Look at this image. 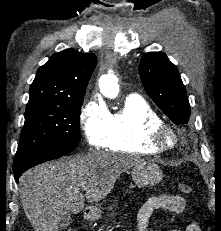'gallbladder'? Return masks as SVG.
<instances>
[{"instance_id": "1", "label": "gallbladder", "mask_w": 221, "mask_h": 231, "mask_svg": "<svg viewBox=\"0 0 221 231\" xmlns=\"http://www.w3.org/2000/svg\"><path fill=\"white\" fill-rule=\"evenodd\" d=\"M70 220H71L70 212L67 210H63L62 213L60 214V220L58 223V227L60 229H64L68 227V225L70 224Z\"/></svg>"}]
</instances>
